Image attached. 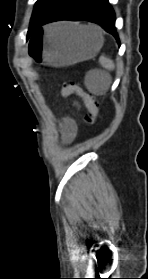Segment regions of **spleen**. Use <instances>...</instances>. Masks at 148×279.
<instances>
[{
	"instance_id": "spleen-1",
	"label": "spleen",
	"mask_w": 148,
	"mask_h": 279,
	"mask_svg": "<svg viewBox=\"0 0 148 279\" xmlns=\"http://www.w3.org/2000/svg\"><path fill=\"white\" fill-rule=\"evenodd\" d=\"M80 29L87 33L100 30L95 26H80ZM58 30L59 29H50L52 33L57 32ZM99 62L102 67H104L108 71L114 70L115 68L113 60L108 57H100ZM110 81L111 79L108 73H99L98 76L87 77L86 85L92 93L96 95H104L109 88Z\"/></svg>"
}]
</instances>
